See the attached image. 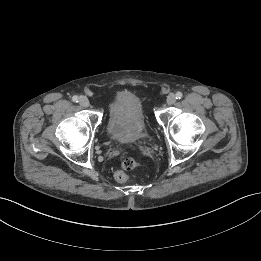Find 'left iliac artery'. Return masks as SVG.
<instances>
[{"label":"left iliac artery","mask_w":261,"mask_h":261,"mask_svg":"<svg viewBox=\"0 0 261 261\" xmlns=\"http://www.w3.org/2000/svg\"><path fill=\"white\" fill-rule=\"evenodd\" d=\"M183 94L181 92L176 93V99H181Z\"/></svg>","instance_id":"left-iliac-artery-1"}]
</instances>
